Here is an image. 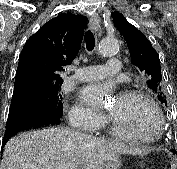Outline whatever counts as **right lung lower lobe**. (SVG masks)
<instances>
[{"label": "right lung lower lobe", "instance_id": "right-lung-lower-lobe-1", "mask_svg": "<svg viewBox=\"0 0 177 169\" xmlns=\"http://www.w3.org/2000/svg\"><path fill=\"white\" fill-rule=\"evenodd\" d=\"M24 84L25 83H20L17 87L14 85V93L19 91ZM62 114L63 111L57 112L48 107H40L32 104L11 105L2 146L19 131L60 124Z\"/></svg>", "mask_w": 177, "mask_h": 169}]
</instances>
